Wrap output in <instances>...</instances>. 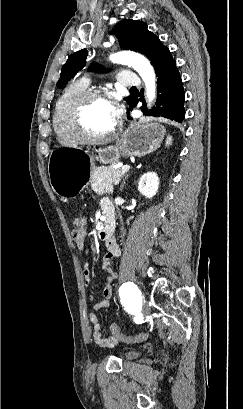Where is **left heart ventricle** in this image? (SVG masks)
I'll use <instances>...</instances> for the list:
<instances>
[{"mask_svg":"<svg viewBox=\"0 0 243 409\" xmlns=\"http://www.w3.org/2000/svg\"><path fill=\"white\" fill-rule=\"evenodd\" d=\"M82 122L89 134L106 133L116 123L115 110L108 102L101 100L90 101L83 109Z\"/></svg>","mask_w":243,"mask_h":409,"instance_id":"left-heart-ventricle-1","label":"left heart ventricle"}]
</instances>
